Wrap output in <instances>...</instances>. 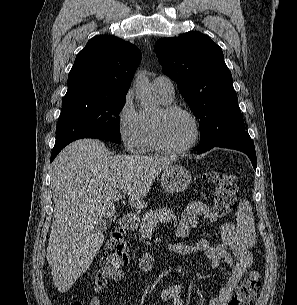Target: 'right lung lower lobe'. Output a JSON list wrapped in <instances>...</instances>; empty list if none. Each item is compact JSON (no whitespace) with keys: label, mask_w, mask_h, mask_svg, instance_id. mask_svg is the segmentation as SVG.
Wrapping results in <instances>:
<instances>
[{"label":"right lung lower lobe","mask_w":297,"mask_h":305,"mask_svg":"<svg viewBox=\"0 0 297 305\" xmlns=\"http://www.w3.org/2000/svg\"><path fill=\"white\" fill-rule=\"evenodd\" d=\"M63 148H53L52 154H51V161L54 160V158L57 156V154L61 151Z\"/></svg>","instance_id":"98d812e1"}]
</instances>
